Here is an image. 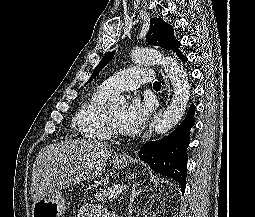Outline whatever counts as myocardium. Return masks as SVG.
<instances>
[{"label": "myocardium", "mask_w": 255, "mask_h": 217, "mask_svg": "<svg viewBox=\"0 0 255 217\" xmlns=\"http://www.w3.org/2000/svg\"><path fill=\"white\" fill-rule=\"evenodd\" d=\"M107 129L110 137L118 138L122 132L116 127L109 112L106 114Z\"/></svg>", "instance_id": "obj_1"}]
</instances>
